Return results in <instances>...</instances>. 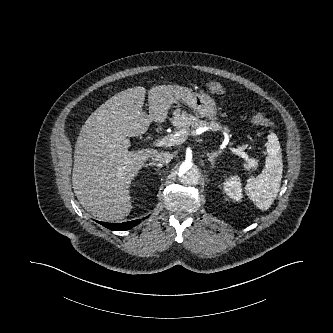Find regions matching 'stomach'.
I'll use <instances>...</instances> for the list:
<instances>
[{
	"mask_svg": "<svg viewBox=\"0 0 333 333\" xmlns=\"http://www.w3.org/2000/svg\"><path fill=\"white\" fill-rule=\"evenodd\" d=\"M196 111L201 117L211 122L217 120V107L215 101L205 93L191 92L180 100Z\"/></svg>",
	"mask_w": 333,
	"mask_h": 333,
	"instance_id": "0dacf381",
	"label": "stomach"
}]
</instances>
